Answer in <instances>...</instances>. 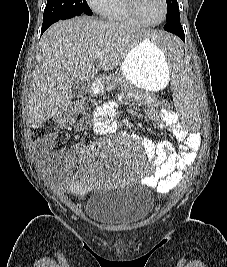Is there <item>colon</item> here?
I'll use <instances>...</instances> for the list:
<instances>
[{
  "mask_svg": "<svg viewBox=\"0 0 227 267\" xmlns=\"http://www.w3.org/2000/svg\"><path fill=\"white\" fill-rule=\"evenodd\" d=\"M174 104L172 100H161L159 108L160 109H174ZM88 109V104L86 100H79L75 102L69 109L64 113L56 117V125L59 128H68L74 124L77 117L84 114Z\"/></svg>",
  "mask_w": 227,
  "mask_h": 267,
  "instance_id": "colon-1",
  "label": "colon"
}]
</instances>
